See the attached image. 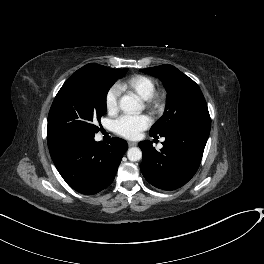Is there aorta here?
Wrapping results in <instances>:
<instances>
[{"label": "aorta", "mask_w": 264, "mask_h": 264, "mask_svg": "<svg viewBox=\"0 0 264 264\" xmlns=\"http://www.w3.org/2000/svg\"><path fill=\"white\" fill-rule=\"evenodd\" d=\"M120 108L127 114L139 113L143 109L141 100L136 95H124L120 100ZM127 157L130 161H139L142 158V151L138 147L129 148Z\"/></svg>", "instance_id": "1"}]
</instances>
